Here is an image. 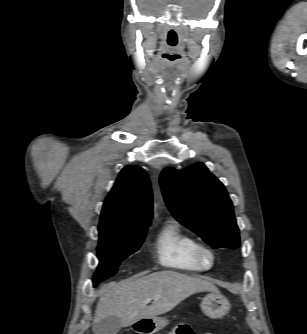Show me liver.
<instances>
[{"instance_id": "1", "label": "liver", "mask_w": 307, "mask_h": 334, "mask_svg": "<svg viewBox=\"0 0 307 334\" xmlns=\"http://www.w3.org/2000/svg\"><path fill=\"white\" fill-rule=\"evenodd\" d=\"M201 291L219 292L209 281L175 271H159L134 280L109 283L97 303L93 324L116 316L121 319L122 326L127 327L141 319L165 314ZM146 298L153 300L151 305L143 303Z\"/></svg>"}]
</instances>
